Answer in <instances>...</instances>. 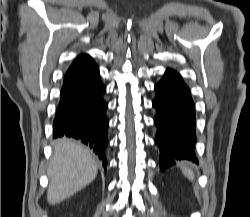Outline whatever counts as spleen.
Instances as JSON below:
<instances>
[{
	"mask_svg": "<svg viewBox=\"0 0 250 217\" xmlns=\"http://www.w3.org/2000/svg\"><path fill=\"white\" fill-rule=\"evenodd\" d=\"M181 169H182V171H183V173L189 178V179H191V180H194V173H193V171L190 169V168H188V166L186 165V164H182L181 165Z\"/></svg>",
	"mask_w": 250,
	"mask_h": 217,
	"instance_id": "1",
	"label": "spleen"
}]
</instances>
